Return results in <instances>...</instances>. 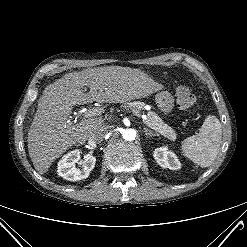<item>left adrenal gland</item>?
I'll use <instances>...</instances> for the list:
<instances>
[{
	"mask_svg": "<svg viewBox=\"0 0 247 247\" xmlns=\"http://www.w3.org/2000/svg\"><path fill=\"white\" fill-rule=\"evenodd\" d=\"M145 135L146 137H152V136H158L156 133L150 131V130H145Z\"/></svg>",
	"mask_w": 247,
	"mask_h": 247,
	"instance_id": "obj_1",
	"label": "left adrenal gland"
}]
</instances>
